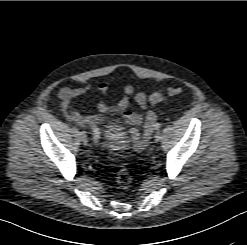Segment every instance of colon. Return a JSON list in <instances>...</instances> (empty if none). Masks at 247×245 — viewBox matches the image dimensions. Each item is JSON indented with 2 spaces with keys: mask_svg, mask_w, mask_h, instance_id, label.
<instances>
[{
  "mask_svg": "<svg viewBox=\"0 0 247 245\" xmlns=\"http://www.w3.org/2000/svg\"><path fill=\"white\" fill-rule=\"evenodd\" d=\"M180 92H181L180 88L170 87L167 89L166 95L167 96H175V95L180 94ZM163 100H164V95L161 93H158V92L152 93L149 97V101L152 104H158V103L162 102ZM116 181L119 184V186L121 188H124V189L128 188L131 185L132 178H131L130 171L128 170L127 167L122 166L118 170V172L116 174Z\"/></svg>",
  "mask_w": 247,
  "mask_h": 245,
  "instance_id": "colon-1",
  "label": "colon"
}]
</instances>
